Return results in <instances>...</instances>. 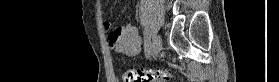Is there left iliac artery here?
Instances as JSON below:
<instances>
[{"mask_svg": "<svg viewBox=\"0 0 279 82\" xmlns=\"http://www.w3.org/2000/svg\"><path fill=\"white\" fill-rule=\"evenodd\" d=\"M144 35V50H145V55L149 56L150 55V42H151V31L149 26L146 24L144 27L143 31Z\"/></svg>", "mask_w": 279, "mask_h": 82, "instance_id": "44dca946", "label": "left iliac artery"}]
</instances>
